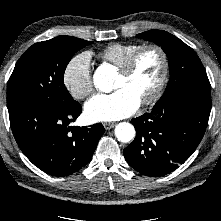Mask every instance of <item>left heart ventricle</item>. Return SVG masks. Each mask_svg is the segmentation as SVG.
<instances>
[{
  "label": "left heart ventricle",
  "instance_id": "left-heart-ventricle-1",
  "mask_svg": "<svg viewBox=\"0 0 221 221\" xmlns=\"http://www.w3.org/2000/svg\"><path fill=\"white\" fill-rule=\"evenodd\" d=\"M161 67L159 54L154 50H147L138 58L129 75L118 72L113 87L126 89L141 102L154 90L161 74Z\"/></svg>",
  "mask_w": 221,
  "mask_h": 221
}]
</instances>
